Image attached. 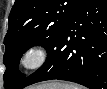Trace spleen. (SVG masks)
<instances>
[{"mask_svg": "<svg viewBox=\"0 0 107 89\" xmlns=\"http://www.w3.org/2000/svg\"><path fill=\"white\" fill-rule=\"evenodd\" d=\"M61 89H81V86L72 84H63Z\"/></svg>", "mask_w": 107, "mask_h": 89, "instance_id": "3e777b00", "label": "spleen"}]
</instances>
